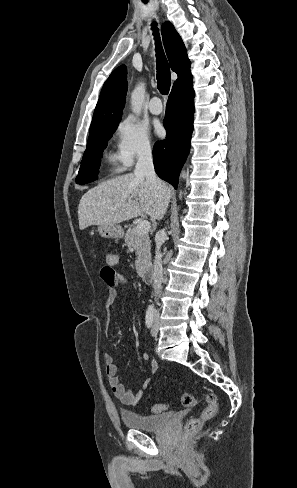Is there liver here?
<instances>
[{"instance_id": "6515ba94", "label": "liver", "mask_w": 297, "mask_h": 488, "mask_svg": "<svg viewBox=\"0 0 297 488\" xmlns=\"http://www.w3.org/2000/svg\"><path fill=\"white\" fill-rule=\"evenodd\" d=\"M171 192L164 183L159 189L145 177L132 173L104 181L82 196L78 206L79 228L116 225L143 213L161 220Z\"/></svg>"}]
</instances>
